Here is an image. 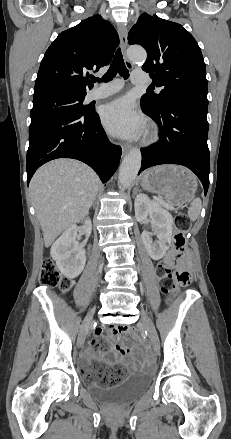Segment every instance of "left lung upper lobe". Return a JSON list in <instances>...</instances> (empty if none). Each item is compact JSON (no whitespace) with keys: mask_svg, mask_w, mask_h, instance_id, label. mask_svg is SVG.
Segmentation results:
<instances>
[{"mask_svg":"<svg viewBox=\"0 0 231 439\" xmlns=\"http://www.w3.org/2000/svg\"><path fill=\"white\" fill-rule=\"evenodd\" d=\"M128 42L140 44L148 55L142 69L149 73L159 94H144L141 105L155 110L182 94L207 97L206 68L194 37L178 23L142 14L128 34Z\"/></svg>","mask_w":231,"mask_h":439,"instance_id":"1","label":"left lung upper lobe"}]
</instances>
